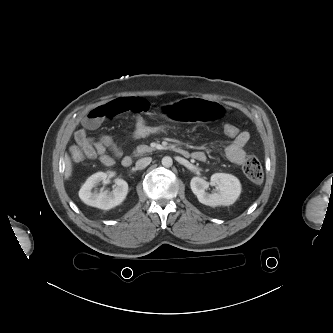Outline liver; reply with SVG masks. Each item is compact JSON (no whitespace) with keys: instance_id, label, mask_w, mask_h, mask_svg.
<instances>
[{"instance_id":"liver-1","label":"liver","mask_w":333,"mask_h":333,"mask_svg":"<svg viewBox=\"0 0 333 333\" xmlns=\"http://www.w3.org/2000/svg\"><path fill=\"white\" fill-rule=\"evenodd\" d=\"M65 178L68 179L71 174H72V163H71V160L69 158V156L67 154H65Z\"/></svg>"}]
</instances>
